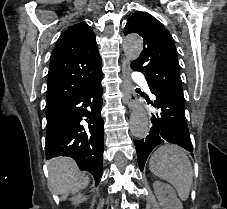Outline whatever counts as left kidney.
<instances>
[{"label": "left kidney", "instance_id": "5707ae66", "mask_svg": "<svg viewBox=\"0 0 227 209\" xmlns=\"http://www.w3.org/2000/svg\"><path fill=\"white\" fill-rule=\"evenodd\" d=\"M153 189L162 209H183V205L177 199V195L171 185L155 181L153 183Z\"/></svg>", "mask_w": 227, "mask_h": 209}]
</instances>
